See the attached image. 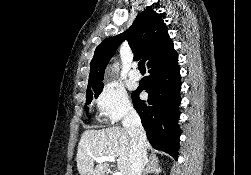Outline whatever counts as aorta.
Wrapping results in <instances>:
<instances>
[{"label": "aorta", "mask_w": 251, "mask_h": 175, "mask_svg": "<svg viewBox=\"0 0 251 175\" xmlns=\"http://www.w3.org/2000/svg\"><path fill=\"white\" fill-rule=\"evenodd\" d=\"M119 64H114V68H118Z\"/></svg>", "instance_id": "aorta-1"}]
</instances>
